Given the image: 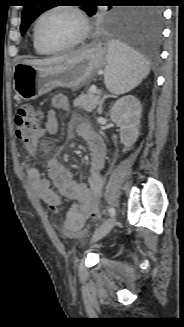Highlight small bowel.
Masks as SVG:
<instances>
[{
    "label": "small bowel",
    "instance_id": "c3829d8e",
    "mask_svg": "<svg viewBox=\"0 0 184 327\" xmlns=\"http://www.w3.org/2000/svg\"><path fill=\"white\" fill-rule=\"evenodd\" d=\"M52 106L60 110H68L69 102L62 94L52 98ZM58 129L56 113L50 109L42 128L25 141V149L30 154H35L39 148V140L44 135L55 134ZM78 133L85 140L91 152V173L87 184L73 179L71 173L58 162L51 158L46 165V171L34 166L28 170L27 180L35 195L44 203L61 205V196L75 201L67 212L65 225L71 232L80 230L91 212H98V197L103 186L101 170L105 164L106 146L103 138L93 131L86 123L78 125ZM57 189L59 194L54 190Z\"/></svg>",
    "mask_w": 184,
    "mask_h": 327
}]
</instances>
